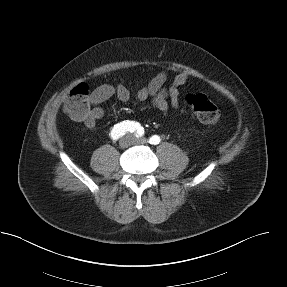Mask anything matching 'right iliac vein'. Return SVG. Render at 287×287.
<instances>
[{"label":"right iliac vein","instance_id":"63e3f726","mask_svg":"<svg viewBox=\"0 0 287 287\" xmlns=\"http://www.w3.org/2000/svg\"><path fill=\"white\" fill-rule=\"evenodd\" d=\"M131 142H132L131 136L127 135L120 140L119 144L121 148H127L128 146H130Z\"/></svg>","mask_w":287,"mask_h":287}]
</instances>
